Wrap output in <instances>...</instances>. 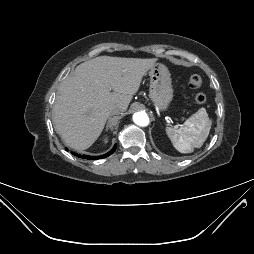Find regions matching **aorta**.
I'll return each instance as SVG.
<instances>
[{
    "label": "aorta",
    "instance_id": "aorta-1",
    "mask_svg": "<svg viewBox=\"0 0 254 254\" xmlns=\"http://www.w3.org/2000/svg\"><path fill=\"white\" fill-rule=\"evenodd\" d=\"M133 121L139 126H147L149 117L145 112H137L133 115Z\"/></svg>",
    "mask_w": 254,
    "mask_h": 254
}]
</instances>
